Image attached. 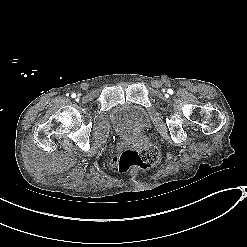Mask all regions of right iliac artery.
Segmentation results:
<instances>
[{"label": "right iliac artery", "mask_w": 247, "mask_h": 247, "mask_svg": "<svg viewBox=\"0 0 247 247\" xmlns=\"http://www.w3.org/2000/svg\"><path fill=\"white\" fill-rule=\"evenodd\" d=\"M75 97H76V94L73 93V94H72V98H75Z\"/></svg>", "instance_id": "82829eb1"}]
</instances>
